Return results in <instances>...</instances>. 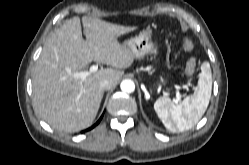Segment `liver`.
<instances>
[{
    "label": "liver",
    "instance_id": "obj_1",
    "mask_svg": "<svg viewBox=\"0 0 249 165\" xmlns=\"http://www.w3.org/2000/svg\"><path fill=\"white\" fill-rule=\"evenodd\" d=\"M73 17L60 26L46 41L36 62L33 78V105L36 113L52 128L77 132L89 127L100 107L104 90L100 82L109 80L115 87L135 56L118 41V37L135 30L82 17ZM92 61L113 68L100 69L85 79L74 73ZM115 68V69H114Z\"/></svg>",
    "mask_w": 249,
    "mask_h": 165
}]
</instances>
